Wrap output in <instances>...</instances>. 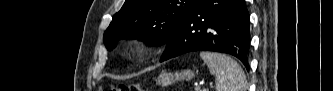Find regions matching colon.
<instances>
[{"instance_id":"1","label":"colon","mask_w":333,"mask_h":91,"mask_svg":"<svg viewBox=\"0 0 333 91\" xmlns=\"http://www.w3.org/2000/svg\"><path fill=\"white\" fill-rule=\"evenodd\" d=\"M141 87L136 84L127 85V84H120L118 86H112L111 91H141Z\"/></svg>"}]
</instances>
